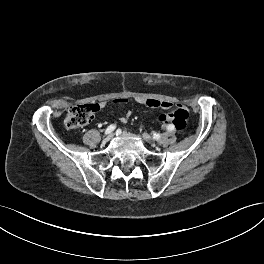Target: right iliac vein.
<instances>
[{
    "label": "right iliac vein",
    "instance_id": "1",
    "mask_svg": "<svg viewBox=\"0 0 264 264\" xmlns=\"http://www.w3.org/2000/svg\"><path fill=\"white\" fill-rule=\"evenodd\" d=\"M112 138H113V134L110 133L108 136H106V137L104 138V140H107V142H108V141H110Z\"/></svg>",
    "mask_w": 264,
    "mask_h": 264
}]
</instances>
